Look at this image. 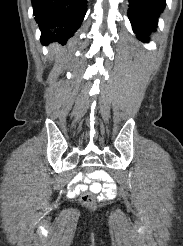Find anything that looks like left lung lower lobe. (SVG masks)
I'll use <instances>...</instances> for the list:
<instances>
[{
	"instance_id": "1",
	"label": "left lung lower lobe",
	"mask_w": 183,
	"mask_h": 246,
	"mask_svg": "<svg viewBox=\"0 0 183 246\" xmlns=\"http://www.w3.org/2000/svg\"><path fill=\"white\" fill-rule=\"evenodd\" d=\"M129 19L137 38L149 40V35L156 30L158 16L163 12L165 0H129Z\"/></svg>"
}]
</instances>
